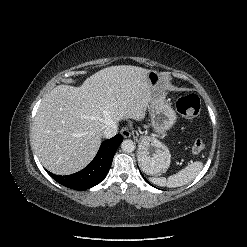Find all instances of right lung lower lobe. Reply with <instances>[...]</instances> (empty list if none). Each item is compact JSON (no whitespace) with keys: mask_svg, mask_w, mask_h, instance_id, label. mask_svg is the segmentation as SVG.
I'll return each mask as SVG.
<instances>
[{"mask_svg":"<svg viewBox=\"0 0 247 247\" xmlns=\"http://www.w3.org/2000/svg\"><path fill=\"white\" fill-rule=\"evenodd\" d=\"M122 141L123 137L120 134L105 140L93 161L77 173L67 176H57L50 172L48 174L55 181L68 188L79 191L89 189L99 184L105 178L112 164L115 152Z\"/></svg>","mask_w":247,"mask_h":247,"instance_id":"1","label":"right lung lower lobe"}]
</instances>
